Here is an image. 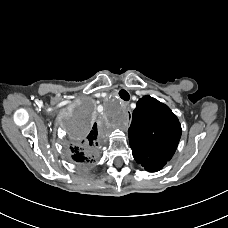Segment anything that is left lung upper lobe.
Listing matches in <instances>:
<instances>
[{
	"mask_svg": "<svg viewBox=\"0 0 228 228\" xmlns=\"http://www.w3.org/2000/svg\"><path fill=\"white\" fill-rule=\"evenodd\" d=\"M128 132L134 159L148 169L155 160L167 162L172 158L182 129L167 105L144 96L133 111Z\"/></svg>",
	"mask_w": 228,
	"mask_h": 228,
	"instance_id": "left-lung-upper-lobe-1",
	"label": "left lung upper lobe"
}]
</instances>
